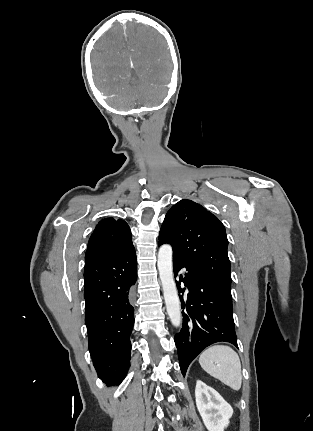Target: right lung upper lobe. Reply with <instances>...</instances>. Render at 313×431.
I'll return each instance as SVG.
<instances>
[{"label": "right lung upper lobe", "mask_w": 313, "mask_h": 431, "mask_svg": "<svg viewBox=\"0 0 313 431\" xmlns=\"http://www.w3.org/2000/svg\"><path fill=\"white\" fill-rule=\"evenodd\" d=\"M132 245L131 231L125 221L103 219L89 239L85 263L118 254Z\"/></svg>", "instance_id": "obj_1"}]
</instances>
